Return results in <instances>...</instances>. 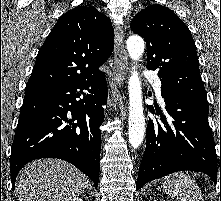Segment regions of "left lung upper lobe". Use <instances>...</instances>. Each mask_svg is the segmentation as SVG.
<instances>
[{
  "instance_id": "left-lung-upper-lobe-1",
  "label": "left lung upper lobe",
  "mask_w": 221,
  "mask_h": 201,
  "mask_svg": "<svg viewBox=\"0 0 221 201\" xmlns=\"http://www.w3.org/2000/svg\"><path fill=\"white\" fill-rule=\"evenodd\" d=\"M131 29L147 45V68L158 70L161 94L207 100L190 30L169 8L152 5L140 11Z\"/></svg>"
}]
</instances>
